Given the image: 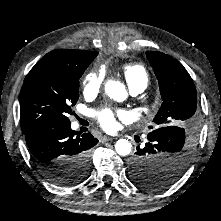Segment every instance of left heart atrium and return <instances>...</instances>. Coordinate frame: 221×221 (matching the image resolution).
Returning a JSON list of instances; mask_svg holds the SVG:
<instances>
[{
	"instance_id": "1",
	"label": "left heart atrium",
	"mask_w": 221,
	"mask_h": 221,
	"mask_svg": "<svg viewBox=\"0 0 221 221\" xmlns=\"http://www.w3.org/2000/svg\"><path fill=\"white\" fill-rule=\"evenodd\" d=\"M94 117L103 129L112 131L115 129L118 119L123 120L126 118V113L123 110L102 108L94 112Z\"/></svg>"
}]
</instances>
